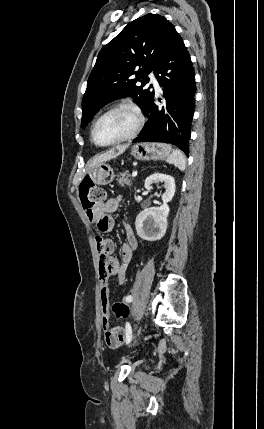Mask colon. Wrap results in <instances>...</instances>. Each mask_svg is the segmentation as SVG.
<instances>
[{
	"instance_id": "colon-1",
	"label": "colon",
	"mask_w": 264,
	"mask_h": 429,
	"mask_svg": "<svg viewBox=\"0 0 264 429\" xmlns=\"http://www.w3.org/2000/svg\"><path fill=\"white\" fill-rule=\"evenodd\" d=\"M79 197L85 212L93 213L95 208L104 202L105 191L95 185L90 178L84 179L79 186ZM112 311L117 318L124 319L129 315V307L121 301H115L112 305ZM121 344L124 341V335L119 332Z\"/></svg>"
}]
</instances>
